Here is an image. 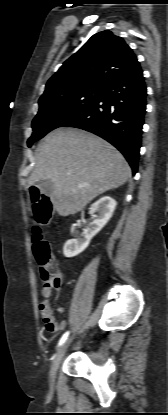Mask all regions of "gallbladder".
<instances>
[{
	"instance_id": "obj_1",
	"label": "gallbladder",
	"mask_w": 168,
	"mask_h": 415,
	"mask_svg": "<svg viewBox=\"0 0 168 415\" xmlns=\"http://www.w3.org/2000/svg\"><path fill=\"white\" fill-rule=\"evenodd\" d=\"M37 186L45 195H51L54 190V183L50 179L40 180Z\"/></svg>"
}]
</instances>
